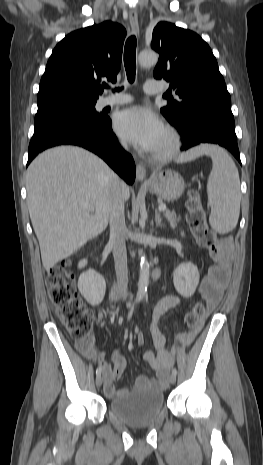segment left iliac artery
<instances>
[{"instance_id": "1", "label": "left iliac artery", "mask_w": 263, "mask_h": 465, "mask_svg": "<svg viewBox=\"0 0 263 465\" xmlns=\"http://www.w3.org/2000/svg\"><path fill=\"white\" fill-rule=\"evenodd\" d=\"M172 374L177 375V370L175 368L172 369Z\"/></svg>"}]
</instances>
